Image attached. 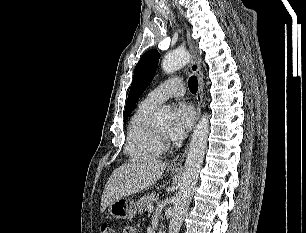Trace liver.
I'll return each mask as SVG.
<instances>
[{
    "label": "liver",
    "instance_id": "obj_1",
    "mask_svg": "<svg viewBox=\"0 0 306 233\" xmlns=\"http://www.w3.org/2000/svg\"><path fill=\"white\" fill-rule=\"evenodd\" d=\"M165 162L155 159H134L118 167L109 177L101 199V212L115 200L147 190L161 178Z\"/></svg>",
    "mask_w": 306,
    "mask_h": 233
}]
</instances>
